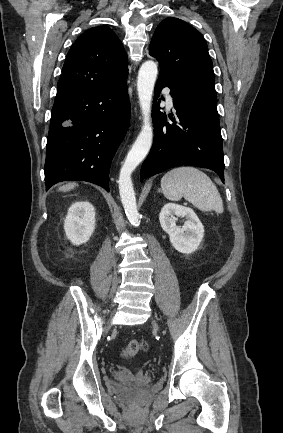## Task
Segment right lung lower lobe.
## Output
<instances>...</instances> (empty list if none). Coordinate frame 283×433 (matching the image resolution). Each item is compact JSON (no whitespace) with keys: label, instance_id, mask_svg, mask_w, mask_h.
<instances>
[{"label":"right lung lower lobe","instance_id":"98d812e1","mask_svg":"<svg viewBox=\"0 0 283 433\" xmlns=\"http://www.w3.org/2000/svg\"><path fill=\"white\" fill-rule=\"evenodd\" d=\"M127 76L110 87L55 99L46 145V190L60 181L82 180L109 191L111 160L130 120Z\"/></svg>","mask_w":283,"mask_h":433}]
</instances>
